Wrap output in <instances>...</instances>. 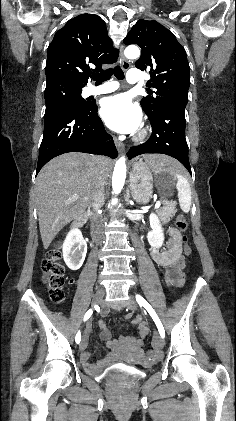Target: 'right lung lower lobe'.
Here are the masks:
<instances>
[{
  "label": "right lung lower lobe",
  "mask_w": 236,
  "mask_h": 421,
  "mask_svg": "<svg viewBox=\"0 0 236 421\" xmlns=\"http://www.w3.org/2000/svg\"><path fill=\"white\" fill-rule=\"evenodd\" d=\"M97 109L95 102H88L84 109L61 107L45 113L36 174L49 160L63 153L85 152L117 157L114 141L106 133Z\"/></svg>",
  "instance_id": "1"
}]
</instances>
